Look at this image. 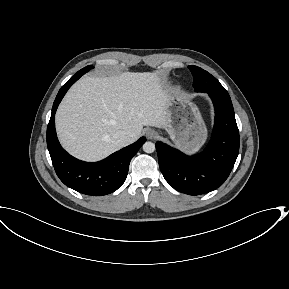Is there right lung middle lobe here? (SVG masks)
Returning <instances> with one entry per match:
<instances>
[{
    "label": "right lung middle lobe",
    "mask_w": 289,
    "mask_h": 289,
    "mask_svg": "<svg viewBox=\"0 0 289 289\" xmlns=\"http://www.w3.org/2000/svg\"><path fill=\"white\" fill-rule=\"evenodd\" d=\"M93 66H87V67H84L83 69L80 70V72H82L83 74H85L86 72H88L90 69H92Z\"/></svg>",
    "instance_id": "1"
}]
</instances>
